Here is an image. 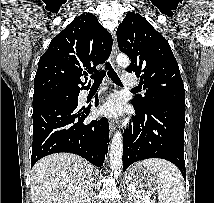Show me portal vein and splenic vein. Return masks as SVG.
<instances>
[{"label": "portal vein and splenic vein", "mask_w": 214, "mask_h": 203, "mask_svg": "<svg viewBox=\"0 0 214 203\" xmlns=\"http://www.w3.org/2000/svg\"><path fill=\"white\" fill-rule=\"evenodd\" d=\"M128 190H129V191H132L133 188H132V187H128ZM143 198H144V200H146V201L150 200V197H149V196H143Z\"/></svg>", "instance_id": "portal-vein-and-splenic-vein-1"}]
</instances>
